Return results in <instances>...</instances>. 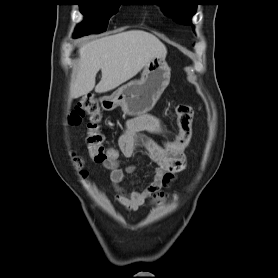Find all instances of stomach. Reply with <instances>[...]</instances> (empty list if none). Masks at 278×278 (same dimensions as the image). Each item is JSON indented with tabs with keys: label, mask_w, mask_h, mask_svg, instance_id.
I'll return each instance as SVG.
<instances>
[{
	"label": "stomach",
	"mask_w": 278,
	"mask_h": 278,
	"mask_svg": "<svg viewBox=\"0 0 278 278\" xmlns=\"http://www.w3.org/2000/svg\"><path fill=\"white\" fill-rule=\"evenodd\" d=\"M170 77L171 69L165 57H154L145 65L140 80L131 81L103 97L101 105L106 110L120 106L130 116L149 112L168 86Z\"/></svg>",
	"instance_id": "0dacf381"
}]
</instances>
